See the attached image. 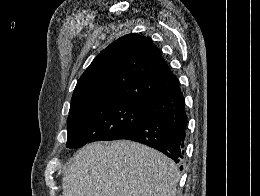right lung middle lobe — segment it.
I'll list each match as a JSON object with an SVG mask.
<instances>
[{"label": "right lung middle lobe", "instance_id": "dd1d6c3e", "mask_svg": "<svg viewBox=\"0 0 260 196\" xmlns=\"http://www.w3.org/2000/svg\"><path fill=\"white\" fill-rule=\"evenodd\" d=\"M150 116L140 103L111 97L70 106L66 147L78 148L98 140H115Z\"/></svg>", "mask_w": 260, "mask_h": 196}]
</instances>
